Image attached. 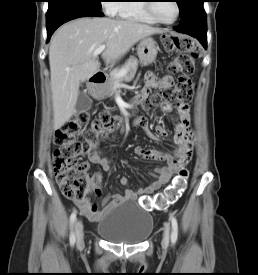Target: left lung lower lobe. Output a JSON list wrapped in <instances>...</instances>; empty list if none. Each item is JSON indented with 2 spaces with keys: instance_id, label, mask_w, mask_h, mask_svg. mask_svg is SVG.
Wrapping results in <instances>:
<instances>
[{
  "instance_id": "obj_1",
  "label": "left lung lower lobe",
  "mask_w": 258,
  "mask_h": 275,
  "mask_svg": "<svg viewBox=\"0 0 258 275\" xmlns=\"http://www.w3.org/2000/svg\"><path fill=\"white\" fill-rule=\"evenodd\" d=\"M204 0H193L187 11L181 17V23L175 28L177 32L185 33L198 39L207 48V17L203 7Z\"/></svg>"
}]
</instances>
